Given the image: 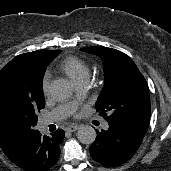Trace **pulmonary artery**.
<instances>
[{
    "mask_svg": "<svg viewBox=\"0 0 171 171\" xmlns=\"http://www.w3.org/2000/svg\"><path fill=\"white\" fill-rule=\"evenodd\" d=\"M75 84L79 91H83L87 85V80H82ZM74 110H75V103H68V104L61 105V106L57 107L56 109H54L49 114V116L44 118L43 121H44V123L48 124V123H52L54 121L64 119L67 116L71 115L74 112ZM108 127H109L108 123L103 122L102 128L107 130Z\"/></svg>",
    "mask_w": 171,
    "mask_h": 171,
    "instance_id": "pulmonary-artery-1",
    "label": "pulmonary artery"
}]
</instances>
